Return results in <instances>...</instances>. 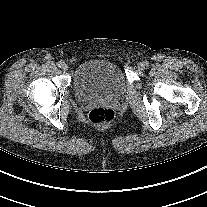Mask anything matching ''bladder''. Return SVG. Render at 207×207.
Masks as SVG:
<instances>
[{
	"label": "bladder",
	"mask_w": 207,
	"mask_h": 207,
	"mask_svg": "<svg viewBox=\"0 0 207 207\" xmlns=\"http://www.w3.org/2000/svg\"><path fill=\"white\" fill-rule=\"evenodd\" d=\"M73 87L81 101L117 98L126 91V82L119 67L108 60L81 63L73 76Z\"/></svg>",
	"instance_id": "1"
}]
</instances>
